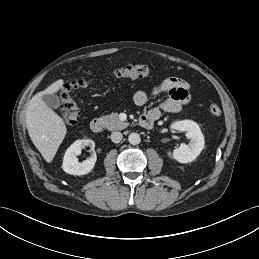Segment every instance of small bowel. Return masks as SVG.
Here are the masks:
<instances>
[{
    "label": "small bowel",
    "instance_id": "1",
    "mask_svg": "<svg viewBox=\"0 0 259 259\" xmlns=\"http://www.w3.org/2000/svg\"><path fill=\"white\" fill-rule=\"evenodd\" d=\"M166 92L168 97L157 107L150 109L143 115L157 120L163 112H180L190 102L189 85L182 79L168 77L154 86L149 93L144 90H138L133 96L136 105L146 104L149 95H159Z\"/></svg>",
    "mask_w": 259,
    "mask_h": 259
}]
</instances>
